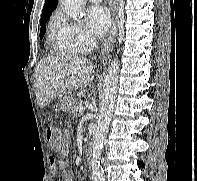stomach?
Here are the masks:
<instances>
[{"label":"stomach","mask_w":197,"mask_h":181,"mask_svg":"<svg viewBox=\"0 0 197 181\" xmlns=\"http://www.w3.org/2000/svg\"><path fill=\"white\" fill-rule=\"evenodd\" d=\"M73 100H74L73 94L69 91H65L59 94L58 102L60 109L64 112L69 111L70 105L72 104Z\"/></svg>","instance_id":"stomach-1"}]
</instances>
